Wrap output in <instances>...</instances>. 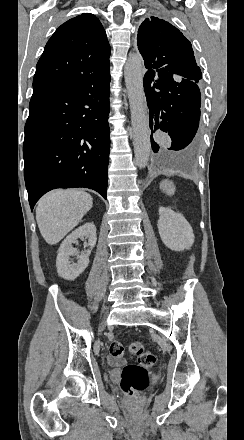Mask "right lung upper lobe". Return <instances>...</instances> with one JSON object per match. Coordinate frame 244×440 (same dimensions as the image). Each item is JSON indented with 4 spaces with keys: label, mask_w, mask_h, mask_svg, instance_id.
<instances>
[{
    "label": "right lung upper lobe",
    "mask_w": 244,
    "mask_h": 440,
    "mask_svg": "<svg viewBox=\"0 0 244 440\" xmlns=\"http://www.w3.org/2000/svg\"><path fill=\"white\" fill-rule=\"evenodd\" d=\"M106 33L91 13L62 24L47 42L33 79V89L62 83L109 68Z\"/></svg>",
    "instance_id": "1"
}]
</instances>
